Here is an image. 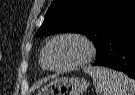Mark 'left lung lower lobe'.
Here are the masks:
<instances>
[{"mask_svg":"<svg viewBox=\"0 0 135 95\" xmlns=\"http://www.w3.org/2000/svg\"><path fill=\"white\" fill-rule=\"evenodd\" d=\"M94 66L122 71L135 79V19L105 38Z\"/></svg>","mask_w":135,"mask_h":95,"instance_id":"1","label":"left lung lower lobe"}]
</instances>
